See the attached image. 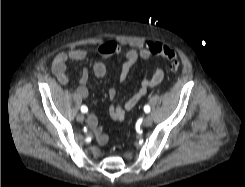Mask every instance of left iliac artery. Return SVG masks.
Instances as JSON below:
<instances>
[{
  "label": "left iliac artery",
  "instance_id": "44dca946",
  "mask_svg": "<svg viewBox=\"0 0 245 187\" xmlns=\"http://www.w3.org/2000/svg\"><path fill=\"white\" fill-rule=\"evenodd\" d=\"M144 111H145L146 113H149V112H150V107H149L148 105H145V106H144Z\"/></svg>",
  "mask_w": 245,
  "mask_h": 187
}]
</instances>
